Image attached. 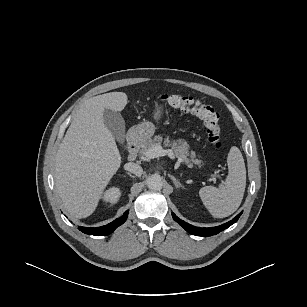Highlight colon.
Here are the masks:
<instances>
[{"label": "colon", "instance_id": "obj_1", "mask_svg": "<svg viewBox=\"0 0 307 307\" xmlns=\"http://www.w3.org/2000/svg\"><path fill=\"white\" fill-rule=\"evenodd\" d=\"M160 100L173 108L197 116L204 124L207 130L208 140L214 147L219 149L223 146L219 115L214 108L189 96L162 95Z\"/></svg>", "mask_w": 307, "mask_h": 307}]
</instances>
